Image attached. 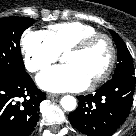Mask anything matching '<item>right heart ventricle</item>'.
<instances>
[{"label": "right heart ventricle", "instance_id": "obj_1", "mask_svg": "<svg viewBox=\"0 0 136 136\" xmlns=\"http://www.w3.org/2000/svg\"><path fill=\"white\" fill-rule=\"evenodd\" d=\"M92 25L79 22H63L50 25L45 32L59 53H65L82 38L98 33Z\"/></svg>", "mask_w": 136, "mask_h": 136}]
</instances>
